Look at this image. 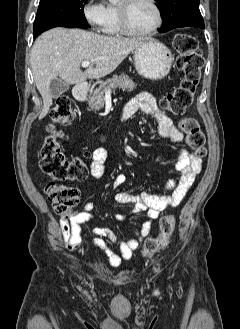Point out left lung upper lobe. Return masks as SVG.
Listing matches in <instances>:
<instances>
[{"mask_svg": "<svg viewBox=\"0 0 240 329\" xmlns=\"http://www.w3.org/2000/svg\"><path fill=\"white\" fill-rule=\"evenodd\" d=\"M155 1L158 3L163 22L160 32L185 26L204 28V21L199 10V0Z\"/></svg>", "mask_w": 240, "mask_h": 329, "instance_id": "5c2ea615", "label": "left lung upper lobe"}]
</instances>
